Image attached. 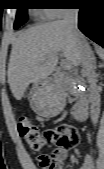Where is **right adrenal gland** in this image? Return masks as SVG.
<instances>
[{"label": "right adrenal gland", "instance_id": "obj_1", "mask_svg": "<svg viewBox=\"0 0 104 169\" xmlns=\"http://www.w3.org/2000/svg\"><path fill=\"white\" fill-rule=\"evenodd\" d=\"M93 60H94V63H96V58H95L94 54H93Z\"/></svg>", "mask_w": 104, "mask_h": 169}]
</instances>
